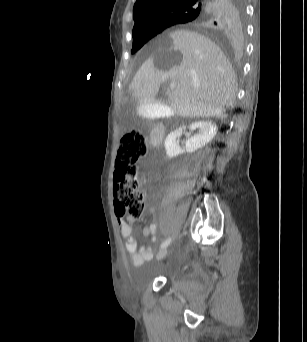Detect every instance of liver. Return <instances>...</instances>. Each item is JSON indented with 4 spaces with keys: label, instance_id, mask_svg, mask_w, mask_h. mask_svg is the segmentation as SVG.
<instances>
[{
    "label": "liver",
    "instance_id": "liver-1",
    "mask_svg": "<svg viewBox=\"0 0 307 342\" xmlns=\"http://www.w3.org/2000/svg\"><path fill=\"white\" fill-rule=\"evenodd\" d=\"M162 40L136 72L129 90L134 95H153L163 82L176 88L167 92L170 106L182 118H227L224 106H233L235 74L225 54L209 38L175 30Z\"/></svg>",
    "mask_w": 307,
    "mask_h": 342
}]
</instances>
